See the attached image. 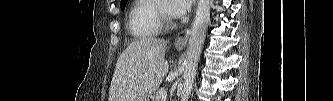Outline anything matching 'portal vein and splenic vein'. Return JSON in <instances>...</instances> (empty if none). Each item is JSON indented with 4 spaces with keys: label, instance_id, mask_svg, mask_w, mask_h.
Instances as JSON below:
<instances>
[{
    "label": "portal vein and splenic vein",
    "instance_id": "18ae733b",
    "mask_svg": "<svg viewBox=\"0 0 333 101\" xmlns=\"http://www.w3.org/2000/svg\"><path fill=\"white\" fill-rule=\"evenodd\" d=\"M160 95H161L162 100L165 101V100H166V97H167V92H166V90H165V89H161V90H160Z\"/></svg>",
    "mask_w": 333,
    "mask_h": 101
}]
</instances>
